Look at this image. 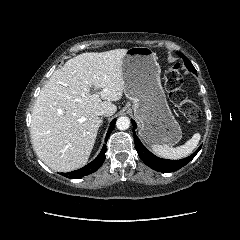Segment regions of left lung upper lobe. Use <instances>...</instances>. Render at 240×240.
<instances>
[{
	"mask_svg": "<svg viewBox=\"0 0 240 240\" xmlns=\"http://www.w3.org/2000/svg\"><path fill=\"white\" fill-rule=\"evenodd\" d=\"M177 54L184 60L185 66L187 67V69L191 72H193L194 74H197L196 69L194 68V66L191 64V62L189 61V59L180 52H177Z\"/></svg>",
	"mask_w": 240,
	"mask_h": 240,
	"instance_id": "5c2ea615",
	"label": "left lung upper lobe"
}]
</instances>
